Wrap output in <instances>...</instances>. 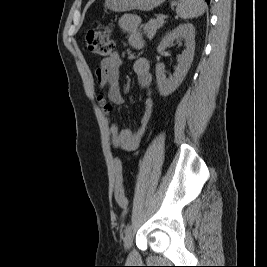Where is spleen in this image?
<instances>
[{
  "instance_id": "3e777b00",
  "label": "spleen",
  "mask_w": 267,
  "mask_h": 267,
  "mask_svg": "<svg viewBox=\"0 0 267 267\" xmlns=\"http://www.w3.org/2000/svg\"><path fill=\"white\" fill-rule=\"evenodd\" d=\"M205 9L204 0H180L176 13L182 19H192L202 15Z\"/></svg>"
}]
</instances>
